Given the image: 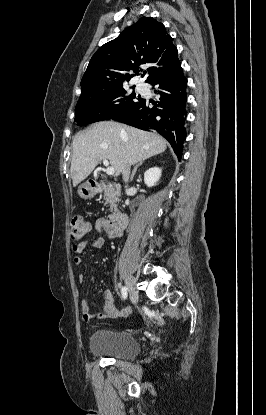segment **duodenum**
Returning a JSON list of instances; mask_svg holds the SVG:
<instances>
[{
  "label": "duodenum",
  "instance_id": "1",
  "mask_svg": "<svg viewBox=\"0 0 266 415\" xmlns=\"http://www.w3.org/2000/svg\"><path fill=\"white\" fill-rule=\"evenodd\" d=\"M90 187L92 190L98 192L103 188V184L96 181H91ZM106 224L109 228L113 230L121 231L128 224V216L127 214L122 212L113 213L107 217Z\"/></svg>",
  "mask_w": 266,
  "mask_h": 415
}]
</instances>
